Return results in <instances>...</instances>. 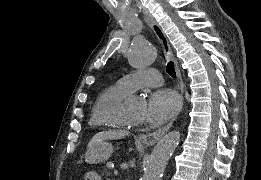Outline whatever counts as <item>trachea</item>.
Wrapping results in <instances>:
<instances>
[{
    "label": "trachea",
    "mask_w": 261,
    "mask_h": 180,
    "mask_svg": "<svg viewBox=\"0 0 261 180\" xmlns=\"http://www.w3.org/2000/svg\"><path fill=\"white\" fill-rule=\"evenodd\" d=\"M167 73L171 76V77H175L176 72H175V68H174V63L173 62H168L167 67H166Z\"/></svg>",
    "instance_id": "3493384b"
}]
</instances>
